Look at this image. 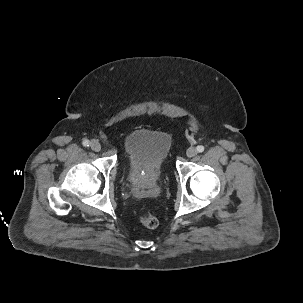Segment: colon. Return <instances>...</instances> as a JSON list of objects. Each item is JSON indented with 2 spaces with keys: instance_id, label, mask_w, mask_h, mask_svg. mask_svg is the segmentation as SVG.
I'll return each mask as SVG.
<instances>
[{
  "instance_id": "1",
  "label": "colon",
  "mask_w": 303,
  "mask_h": 303,
  "mask_svg": "<svg viewBox=\"0 0 303 303\" xmlns=\"http://www.w3.org/2000/svg\"><path fill=\"white\" fill-rule=\"evenodd\" d=\"M140 223L147 228H156L159 225V219L151 212H142L139 215Z\"/></svg>"
}]
</instances>
